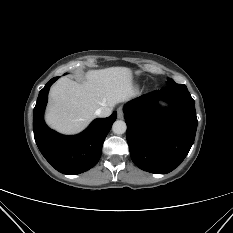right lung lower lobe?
I'll return each instance as SVG.
<instances>
[{
  "label": "right lung lower lobe",
  "instance_id": "98d812e1",
  "mask_svg": "<svg viewBox=\"0 0 233 233\" xmlns=\"http://www.w3.org/2000/svg\"><path fill=\"white\" fill-rule=\"evenodd\" d=\"M58 79L52 78L40 91L33 111V131L36 144L46 160L59 172L75 175L95 166L102 152L103 142L116 120L117 113L107 118L95 119L82 133L61 135L45 124L43 115L50 86Z\"/></svg>",
  "mask_w": 233,
  "mask_h": 233
}]
</instances>
